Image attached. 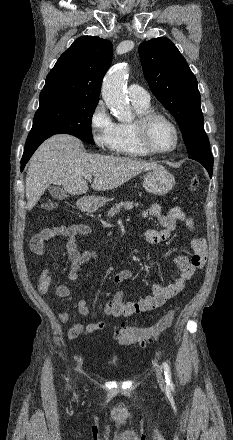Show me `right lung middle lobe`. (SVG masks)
<instances>
[{
    "instance_id": "right-lung-middle-lobe-1",
    "label": "right lung middle lobe",
    "mask_w": 233,
    "mask_h": 440,
    "mask_svg": "<svg viewBox=\"0 0 233 440\" xmlns=\"http://www.w3.org/2000/svg\"><path fill=\"white\" fill-rule=\"evenodd\" d=\"M98 101L51 99L40 102L29 135L71 134L94 144L91 119Z\"/></svg>"
}]
</instances>
